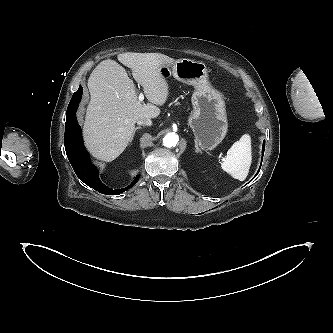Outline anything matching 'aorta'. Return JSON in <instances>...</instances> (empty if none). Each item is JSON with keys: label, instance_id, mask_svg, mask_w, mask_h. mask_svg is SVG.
Returning a JSON list of instances; mask_svg holds the SVG:
<instances>
[{"label": "aorta", "instance_id": "obj_1", "mask_svg": "<svg viewBox=\"0 0 333 333\" xmlns=\"http://www.w3.org/2000/svg\"><path fill=\"white\" fill-rule=\"evenodd\" d=\"M179 141V137L177 134L175 133H168L167 135H165V137L163 138V144L166 147H174L177 145Z\"/></svg>", "mask_w": 333, "mask_h": 333}]
</instances>
